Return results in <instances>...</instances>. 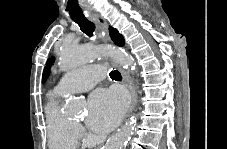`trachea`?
Listing matches in <instances>:
<instances>
[{
    "mask_svg": "<svg viewBox=\"0 0 227 149\" xmlns=\"http://www.w3.org/2000/svg\"><path fill=\"white\" fill-rule=\"evenodd\" d=\"M76 24L80 27L83 33L88 35L89 37L93 36V33L95 31V24L87 19L85 20H74ZM110 78L112 80L120 81L122 79V76L119 71L112 70L109 74Z\"/></svg>",
    "mask_w": 227,
    "mask_h": 149,
    "instance_id": "3493384b",
    "label": "trachea"
}]
</instances>
